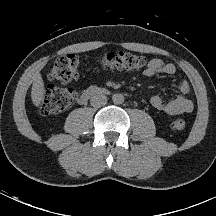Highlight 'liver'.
Returning a JSON list of instances; mask_svg holds the SVG:
<instances>
[{
	"mask_svg": "<svg viewBox=\"0 0 216 216\" xmlns=\"http://www.w3.org/2000/svg\"><path fill=\"white\" fill-rule=\"evenodd\" d=\"M44 82L40 73H37L33 78L31 99L33 104L38 107L44 99Z\"/></svg>",
	"mask_w": 216,
	"mask_h": 216,
	"instance_id": "liver-1",
	"label": "liver"
}]
</instances>
